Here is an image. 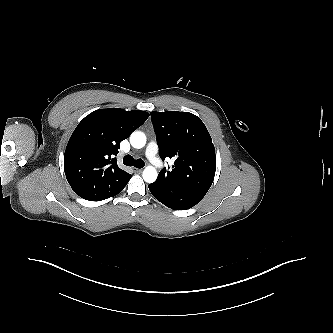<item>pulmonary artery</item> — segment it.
<instances>
[{"instance_id": "obj_1", "label": "pulmonary artery", "mask_w": 333, "mask_h": 333, "mask_svg": "<svg viewBox=\"0 0 333 333\" xmlns=\"http://www.w3.org/2000/svg\"><path fill=\"white\" fill-rule=\"evenodd\" d=\"M158 146L154 141H151L146 148V156L149 161L156 167L161 166V161L157 157Z\"/></svg>"}]
</instances>
